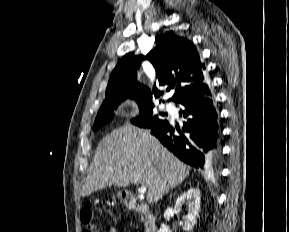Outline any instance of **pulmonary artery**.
<instances>
[{
    "label": "pulmonary artery",
    "mask_w": 289,
    "mask_h": 232,
    "mask_svg": "<svg viewBox=\"0 0 289 232\" xmlns=\"http://www.w3.org/2000/svg\"><path fill=\"white\" fill-rule=\"evenodd\" d=\"M165 109L168 110L169 112H173L175 110L174 106L171 103H166Z\"/></svg>",
    "instance_id": "1"
}]
</instances>
